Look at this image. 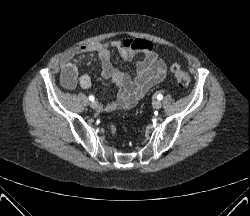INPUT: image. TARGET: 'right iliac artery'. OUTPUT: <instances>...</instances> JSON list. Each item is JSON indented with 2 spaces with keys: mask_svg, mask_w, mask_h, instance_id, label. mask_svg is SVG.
<instances>
[{
  "mask_svg": "<svg viewBox=\"0 0 250 216\" xmlns=\"http://www.w3.org/2000/svg\"><path fill=\"white\" fill-rule=\"evenodd\" d=\"M94 99H95L94 96H92V95L89 96V100H90V101H94Z\"/></svg>",
  "mask_w": 250,
  "mask_h": 216,
  "instance_id": "1",
  "label": "right iliac artery"
}]
</instances>
